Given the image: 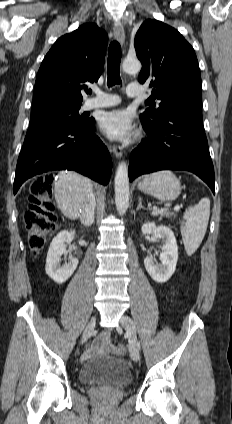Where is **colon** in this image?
<instances>
[{
    "label": "colon",
    "instance_id": "5ec220e1",
    "mask_svg": "<svg viewBox=\"0 0 232 424\" xmlns=\"http://www.w3.org/2000/svg\"><path fill=\"white\" fill-rule=\"evenodd\" d=\"M24 222L30 249L37 254L55 229L54 204L51 192L43 180H35L30 185L29 206L24 214ZM116 346L118 353L127 352L123 340H118Z\"/></svg>",
    "mask_w": 232,
    "mask_h": 424
}]
</instances>
